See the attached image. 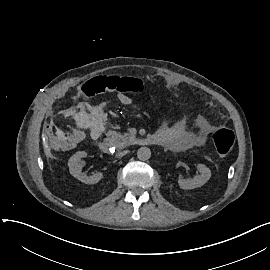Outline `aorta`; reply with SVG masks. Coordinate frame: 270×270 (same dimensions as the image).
<instances>
[{
    "mask_svg": "<svg viewBox=\"0 0 270 270\" xmlns=\"http://www.w3.org/2000/svg\"><path fill=\"white\" fill-rule=\"evenodd\" d=\"M137 157L142 161L148 160L151 157L150 149L146 147L139 148L137 151Z\"/></svg>",
    "mask_w": 270,
    "mask_h": 270,
    "instance_id": "762f6f07",
    "label": "aorta"
}]
</instances>
